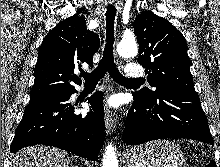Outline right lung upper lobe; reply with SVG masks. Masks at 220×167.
Listing matches in <instances>:
<instances>
[{
  "instance_id": "cb5924a9",
  "label": "right lung upper lobe",
  "mask_w": 220,
  "mask_h": 167,
  "mask_svg": "<svg viewBox=\"0 0 220 167\" xmlns=\"http://www.w3.org/2000/svg\"><path fill=\"white\" fill-rule=\"evenodd\" d=\"M99 36L86 27L85 18L75 14L58 23L44 38L35 66L30 96L66 91L81 84L74 69L85 62L93 65Z\"/></svg>"
}]
</instances>
